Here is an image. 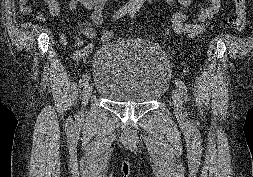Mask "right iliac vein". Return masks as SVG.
<instances>
[{"label": "right iliac vein", "instance_id": "obj_1", "mask_svg": "<svg viewBox=\"0 0 253 177\" xmlns=\"http://www.w3.org/2000/svg\"><path fill=\"white\" fill-rule=\"evenodd\" d=\"M92 94V85L90 83H87L84 87L83 93H82V102L85 105Z\"/></svg>", "mask_w": 253, "mask_h": 177}]
</instances>
